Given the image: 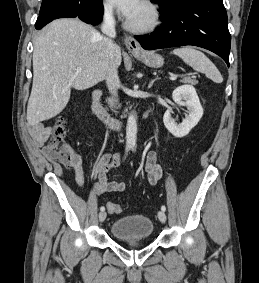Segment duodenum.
<instances>
[{
	"label": "duodenum",
	"mask_w": 259,
	"mask_h": 283,
	"mask_svg": "<svg viewBox=\"0 0 259 283\" xmlns=\"http://www.w3.org/2000/svg\"><path fill=\"white\" fill-rule=\"evenodd\" d=\"M101 90H95L92 93V111L93 113L102 120L105 124L110 127L118 128L120 126V121L116 118L111 117L100 102Z\"/></svg>",
	"instance_id": "1"
}]
</instances>
